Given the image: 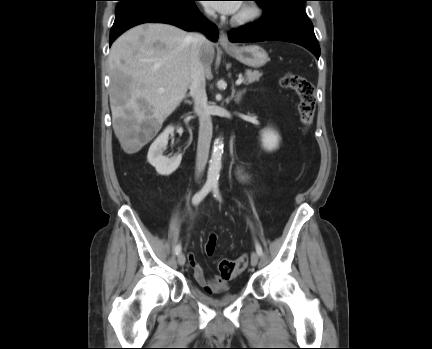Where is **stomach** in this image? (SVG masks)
Segmentation results:
<instances>
[{
	"label": "stomach",
	"mask_w": 432,
	"mask_h": 349,
	"mask_svg": "<svg viewBox=\"0 0 432 349\" xmlns=\"http://www.w3.org/2000/svg\"><path fill=\"white\" fill-rule=\"evenodd\" d=\"M226 53L242 64L259 68L268 62L267 52L258 45L235 46L233 49H225Z\"/></svg>",
	"instance_id": "obj_1"
}]
</instances>
